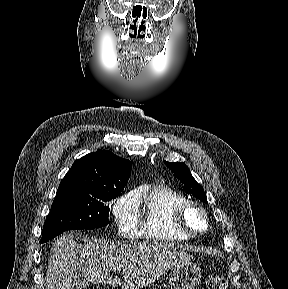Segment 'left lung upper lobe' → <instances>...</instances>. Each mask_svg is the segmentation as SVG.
Returning <instances> with one entry per match:
<instances>
[{
  "label": "left lung upper lobe",
  "instance_id": "obj_1",
  "mask_svg": "<svg viewBox=\"0 0 288 289\" xmlns=\"http://www.w3.org/2000/svg\"><path fill=\"white\" fill-rule=\"evenodd\" d=\"M167 167L174 173V175L180 179L184 184L185 191L193 195L194 197L200 199L201 201L207 203L206 194L200 184L196 182L193 176L190 174L188 166L181 162H166Z\"/></svg>",
  "mask_w": 288,
  "mask_h": 289
}]
</instances>
